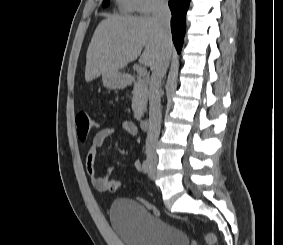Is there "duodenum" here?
Segmentation results:
<instances>
[{"mask_svg": "<svg viewBox=\"0 0 283 245\" xmlns=\"http://www.w3.org/2000/svg\"><path fill=\"white\" fill-rule=\"evenodd\" d=\"M133 77L132 76H128L127 77V83H131L133 82ZM140 127L142 130H147L149 127V120L146 117H142L140 119Z\"/></svg>", "mask_w": 283, "mask_h": 245, "instance_id": "duodenum-1", "label": "duodenum"}]
</instances>
